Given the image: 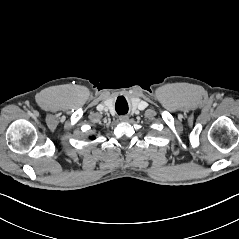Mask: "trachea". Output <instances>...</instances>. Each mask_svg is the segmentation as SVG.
Wrapping results in <instances>:
<instances>
[{
	"instance_id": "1",
	"label": "trachea",
	"mask_w": 239,
	"mask_h": 239,
	"mask_svg": "<svg viewBox=\"0 0 239 239\" xmlns=\"http://www.w3.org/2000/svg\"><path fill=\"white\" fill-rule=\"evenodd\" d=\"M127 110H123V111H120L118 112L119 114H126Z\"/></svg>"
}]
</instances>
